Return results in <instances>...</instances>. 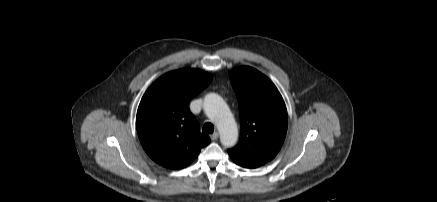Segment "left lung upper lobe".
Masks as SVG:
<instances>
[{
	"label": "left lung upper lobe",
	"mask_w": 437,
	"mask_h": 202,
	"mask_svg": "<svg viewBox=\"0 0 437 202\" xmlns=\"http://www.w3.org/2000/svg\"><path fill=\"white\" fill-rule=\"evenodd\" d=\"M230 80L239 104L241 136L228 153L234 161L257 168L271 161L283 145L286 106L276 86L252 67L233 69Z\"/></svg>",
	"instance_id": "1"
}]
</instances>
